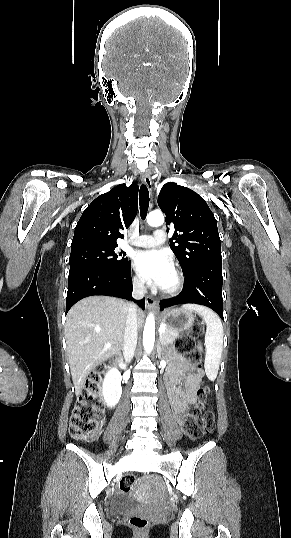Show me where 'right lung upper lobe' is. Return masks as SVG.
Wrapping results in <instances>:
<instances>
[{
	"label": "right lung upper lobe",
	"instance_id": "1",
	"mask_svg": "<svg viewBox=\"0 0 291 538\" xmlns=\"http://www.w3.org/2000/svg\"><path fill=\"white\" fill-rule=\"evenodd\" d=\"M138 210V185L119 184L98 196L84 210L76 227L71 249L89 245H117Z\"/></svg>",
	"mask_w": 291,
	"mask_h": 538
}]
</instances>
